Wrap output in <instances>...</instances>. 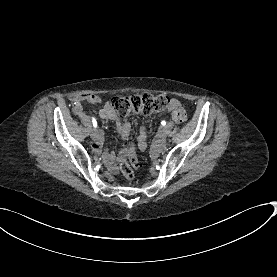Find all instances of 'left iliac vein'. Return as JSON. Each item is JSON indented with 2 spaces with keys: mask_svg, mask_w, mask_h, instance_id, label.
Listing matches in <instances>:
<instances>
[{
  "mask_svg": "<svg viewBox=\"0 0 277 277\" xmlns=\"http://www.w3.org/2000/svg\"><path fill=\"white\" fill-rule=\"evenodd\" d=\"M166 136H167L166 130L162 129L160 132V138L164 140L166 139Z\"/></svg>",
  "mask_w": 277,
  "mask_h": 277,
  "instance_id": "obj_1",
  "label": "left iliac vein"
}]
</instances>
